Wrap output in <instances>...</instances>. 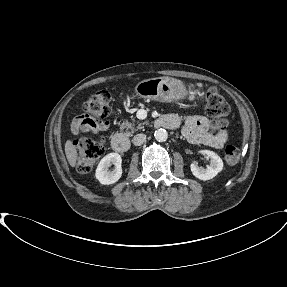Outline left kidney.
I'll list each match as a JSON object with an SVG mask.
<instances>
[{
  "instance_id": "1",
  "label": "left kidney",
  "mask_w": 287,
  "mask_h": 287,
  "mask_svg": "<svg viewBox=\"0 0 287 287\" xmlns=\"http://www.w3.org/2000/svg\"><path fill=\"white\" fill-rule=\"evenodd\" d=\"M201 154L207 155L210 158V165L205 169L198 167L195 163L190 165L192 174L203 181L210 180L214 178L220 171L223 169L222 159L213 151L210 150H201Z\"/></svg>"
}]
</instances>
